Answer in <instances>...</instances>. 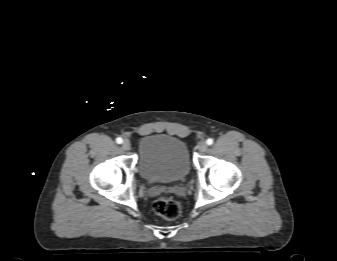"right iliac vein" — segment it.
<instances>
[{"instance_id":"63e3f726","label":"right iliac vein","mask_w":337,"mask_h":261,"mask_svg":"<svg viewBox=\"0 0 337 261\" xmlns=\"http://www.w3.org/2000/svg\"><path fill=\"white\" fill-rule=\"evenodd\" d=\"M122 148H123L124 150H130V148H131L130 142L127 141V140H125V141L122 143Z\"/></svg>"}]
</instances>
